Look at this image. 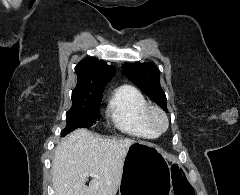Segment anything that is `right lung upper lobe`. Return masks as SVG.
<instances>
[{
  "label": "right lung upper lobe",
  "mask_w": 240,
  "mask_h": 195,
  "mask_svg": "<svg viewBox=\"0 0 240 195\" xmlns=\"http://www.w3.org/2000/svg\"><path fill=\"white\" fill-rule=\"evenodd\" d=\"M78 76L72 99L102 98L105 85L115 74V68L95 57L81 60L75 67Z\"/></svg>",
  "instance_id": "cb5924a9"
}]
</instances>
